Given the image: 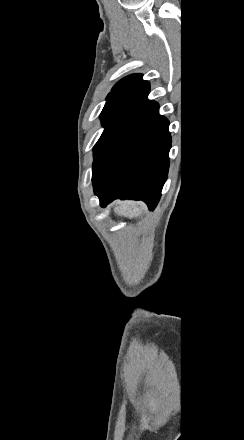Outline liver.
<instances>
[{
    "instance_id": "liver-1",
    "label": "liver",
    "mask_w": 244,
    "mask_h": 440,
    "mask_svg": "<svg viewBox=\"0 0 244 440\" xmlns=\"http://www.w3.org/2000/svg\"><path fill=\"white\" fill-rule=\"evenodd\" d=\"M143 210V204L141 202H117V206L114 208V214L116 216H124L129 220L139 218Z\"/></svg>"
}]
</instances>
